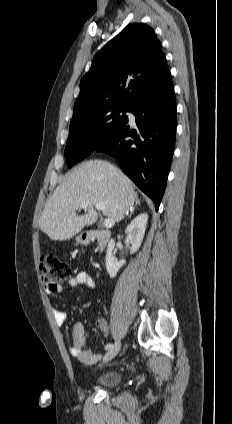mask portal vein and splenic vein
<instances>
[{
	"label": "portal vein and splenic vein",
	"mask_w": 232,
	"mask_h": 424,
	"mask_svg": "<svg viewBox=\"0 0 232 424\" xmlns=\"http://www.w3.org/2000/svg\"><path fill=\"white\" fill-rule=\"evenodd\" d=\"M87 206H88L87 203H82L80 205V208L87 209ZM95 207H96L97 210H103L105 208V204L103 202H97V203H95ZM103 224L106 228H110L114 225V220L110 219V218L105 219Z\"/></svg>",
	"instance_id": "portal-vein-and-splenic-vein-1"
}]
</instances>
